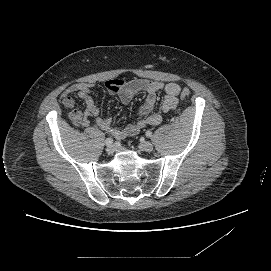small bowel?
<instances>
[{"instance_id": "small-bowel-1", "label": "small bowel", "mask_w": 271, "mask_h": 271, "mask_svg": "<svg viewBox=\"0 0 271 271\" xmlns=\"http://www.w3.org/2000/svg\"><path fill=\"white\" fill-rule=\"evenodd\" d=\"M109 93L118 95L120 100L127 104L139 93L146 94L144 103L138 109V119L124 128L115 127L108 117H101L100 111L91 96L92 85L89 83H75L67 87L60 96L61 103L69 109V120L78 127H88L93 119L95 124L112 134L116 139H124L137 134L142 128L158 125L164 116L174 111L179 103L178 95L181 88L176 83H163L144 79L124 81L112 79L105 83ZM163 92L165 95L160 108L154 111L156 95ZM77 95L85 102L86 108L82 112L74 109L75 101L72 95Z\"/></svg>"}]
</instances>
